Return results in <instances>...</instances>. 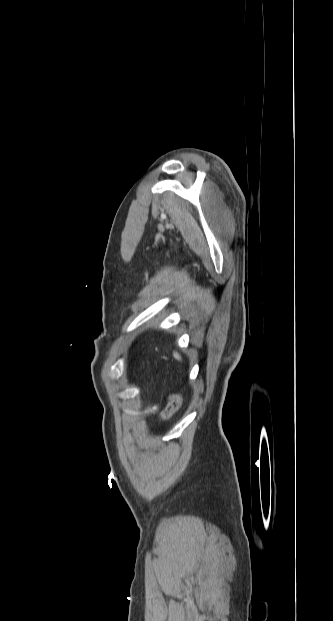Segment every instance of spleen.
Returning a JSON list of instances; mask_svg holds the SVG:
<instances>
[{
	"mask_svg": "<svg viewBox=\"0 0 333 621\" xmlns=\"http://www.w3.org/2000/svg\"><path fill=\"white\" fill-rule=\"evenodd\" d=\"M173 356H174V358H175V359H177L178 361H181V360H182L181 356H180L177 352H173Z\"/></svg>",
	"mask_w": 333,
	"mask_h": 621,
	"instance_id": "obj_1",
	"label": "spleen"
}]
</instances>
